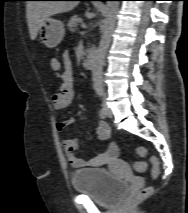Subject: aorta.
Returning a JSON list of instances; mask_svg holds the SVG:
<instances>
[{"label":"aorta","instance_id":"762f6f07","mask_svg":"<svg viewBox=\"0 0 188 213\" xmlns=\"http://www.w3.org/2000/svg\"><path fill=\"white\" fill-rule=\"evenodd\" d=\"M119 1H108L106 4V16L104 30L99 47L96 51L92 66L93 88L98 95L103 94V65L111 42L119 11Z\"/></svg>","mask_w":188,"mask_h":213}]
</instances>
